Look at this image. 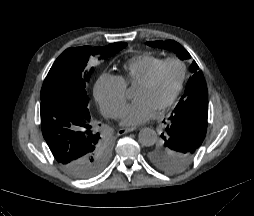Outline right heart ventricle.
<instances>
[{"label":"right heart ventricle","instance_id":"e07e8e85","mask_svg":"<svg viewBox=\"0 0 254 216\" xmlns=\"http://www.w3.org/2000/svg\"><path fill=\"white\" fill-rule=\"evenodd\" d=\"M163 60L164 58L150 53L138 54L124 64V74L119 78L125 86L135 87Z\"/></svg>","mask_w":254,"mask_h":216}]
</instances>
